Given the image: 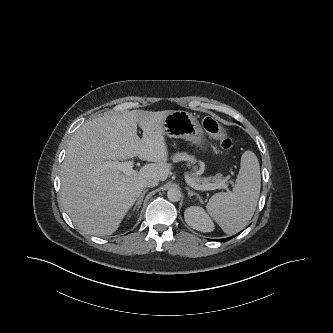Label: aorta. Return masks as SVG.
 <instances>
[{"instance_id":"obj_1","label":"aorta","mask_w":333,"mask_h":333,"mask_svg":"<svg viewBox=\"0 0 333 333\" xmlns=\"http://www.w3.org/2000/svg\"><path fill=\"white\" fill-rule=\"evenodd\" d=\"M167 197L172 202H177L181 198V192L178 188H170L167 192Z\"/></svg>"}]
</instances>
